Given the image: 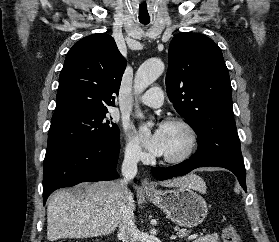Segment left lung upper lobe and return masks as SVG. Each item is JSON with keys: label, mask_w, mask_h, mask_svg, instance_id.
Returning <instances> with one entry per match:
<instances>
[{"label": "left lung upper lobe", "mask_w": 279, "mask_h": 242, "mask_svg": "<svg viewBox=\"0 0 279 242\" xmlns=\"http://www.w3.org/2000/svg\"><path fill=\"white\" fill-rule=\"evenodd\" d=\"M166 89L175 110L199 138L198 150L191 158L244 166L228 69L212 39L190 32L172 39Z\"/></svg>", "instance_id": "obj_1"}]
</instances>
